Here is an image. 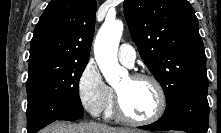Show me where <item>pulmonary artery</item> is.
Masks as SVG:
<instances>
[{
  "instance_id": "pulmonary-artery-1",
  "label": "pulmonary artery",
  "mask_w": 221,
  "mask_h": 133,
  "mask_svg": "<svg viewBox=\"0 0 221 133\" xmlns=\"http://www.w3.org/2000/svg\"><path fill=\"white\" fill-rule=\"evenodd\" d=\"M118 59L122 64L132 67L136 59V52L134 48L129 44H122L119 47Z\"/></svg>"
}]
</instances>
